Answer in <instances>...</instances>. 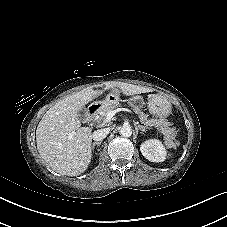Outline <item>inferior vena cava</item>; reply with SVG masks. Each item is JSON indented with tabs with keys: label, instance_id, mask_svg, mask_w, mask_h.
<instances>
[{
	"label": "inferior vena cava",
	"instance_id": "1",
	"mask_svg": "<svg viewBox=\"0 0 227 227\" xmlns=\"http://www.w3.org/2000/svg\"><path fill=\"white\" fill-rule=\"evenodd\" d=\"M110 129L104 128V129H98L93 132L92 138L94 141H102L106 136L108 135Z\"/></svg>",
	"mask_w": 227,
	"mask_h": 227
}]
</instances>
